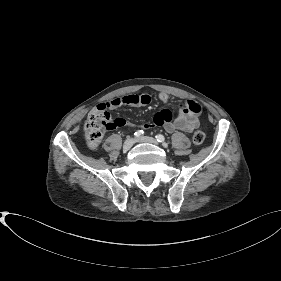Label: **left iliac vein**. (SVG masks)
<instances>
[{
	"label": "left iliac vein",
	"mask_w": 281,
	"mask_h": 281,
	"mask_svg": "<svg viewBox=\"0 0 281 281\" xmlns=\"http://www.w3.org/2000/svg\"><path fill=\"white\" fill-rule=\"evenodd\" d=\"M137 142H141V143H152V144H157L156 139L149 137V136H142L137 138L136 140Z\"/></svg>",
	"instance_id": "obj_1"
}]
</instances>
